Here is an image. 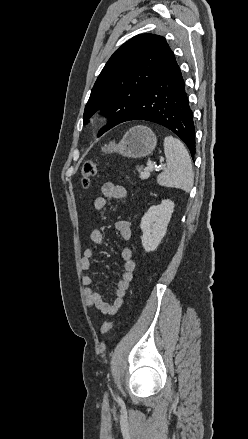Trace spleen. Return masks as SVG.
Here are the masks:
<instances>
[{
	"mask_svg": "<svg viewBox=\"0 0 248 439\" xmlns=\"http://www.w3.org/2000/svg\"><path fill=\"white\" fill-rule=\"evenodd\" d=\"M164 153L167 166L157 177L161 186L179 188L189 192L194 183L191 159L184 144L168 136L164 139Z\"/></svg>",
	"mask_w": 248,
	"mask_h": 439,
	"instance_id": "spleen-1",
	"label": "spleen"
}]
</instances>
